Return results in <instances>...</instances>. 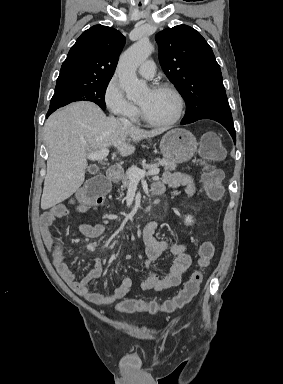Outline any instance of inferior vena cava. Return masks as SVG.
<instances>
[{
    "instance_id": "inferior-vena-cava-1",
    "label": "inferior vena cava",
    "mask_w": 283,
    "mask_h": 384,
    "mask_svg": "<svg viewBox=\"0 0 283 384\" xmlns=\"http://www.w3.org/2000/svg\"><path fill=\"white\" fill-rule=\"evenodd\" d=\"M120 122L125 124V126H132V124H130L129 120H126V118H120Z\"/></svg>"
}]
</instances>
